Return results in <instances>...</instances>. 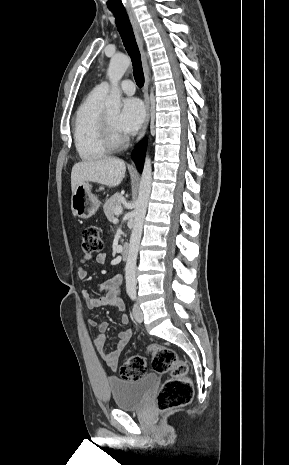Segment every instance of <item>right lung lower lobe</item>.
<instances>
[{
	"instance_id": "1",
	"label": "right lung lower lobe",
	"mask_w": 289,
	"mask_h": 465,
	"mask_svg": "<svg viewBox=\"0 0 289 465\" xmlns=\"http://www.w3.org/2000/svg\"><path fill=\"white\" fill-rule=\"evenodd\" d=\"M146 147H147V140L144 139L136 146L133 152V159L135 161V164L139 172H141L143 169Z\"/></svg>"
}]
</instances>
